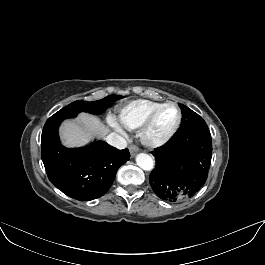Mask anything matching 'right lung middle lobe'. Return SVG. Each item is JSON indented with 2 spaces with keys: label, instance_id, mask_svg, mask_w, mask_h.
<instances>
[{
  "label": "right lung middle lobe",
  "instance_id": "1",
  "mask_svg": "<svg viewBox=\"0 0 265 265\" xmlns=\"http://www.w3.org/2000/svg\"><path fill=\"white\" fill-rule=\"evenodd\" d=\"M123 98V96L109 95L101 100L87 102L78 100L62 108L54 115H77L80 112H89L91 114H102L113 102Z\"/></svg>",
  "mask_w": 265,
  "mask_h": 265
}]
</instances>
